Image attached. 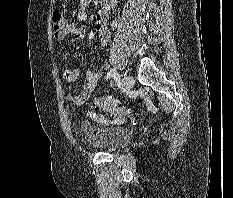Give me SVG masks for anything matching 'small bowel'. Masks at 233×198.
Masks as SVG:
<instances>
[{"label": "small bowel", "mask_w": 233, "mask_h": 198, "mask_svg": "<svg viewBox=\"0 0 233 198\" xmlns=\"http://www.w3.org/2000/svg\"><path fill=\"white\" fill-rule=\"evenodd\" d=\"M91 0H80V10L78 12L79 21L86 19V7ZM108 9L102 8L96 16L95 30L99 36L101 45L107 46L110 39L109 30L107 27ZM71 36L72 42H78L85 38L86 29L79 24H65L64 28L55 33V38L58 41L63 40L67 36ZM80 70L78 68H65L62 71V77L67 82H74L78 79ZM100 79V72L88 71L86 73V82L79 94L69 93L67 98L74 105H84L91 97L92 93L97 87ZM96 119L105 122L106 119L100 115H94Z\"/></svg>", "instance_id": "obj_1"}]
</instances>
